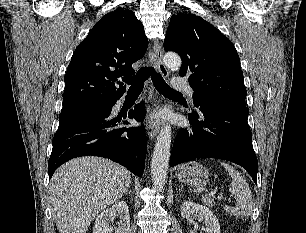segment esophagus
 Wrapping results in <instances>:
<instances>
[{
    "label": "esophagus",
    "mask_w": 306,
    "mask_h": 233,
    "mask_svg": "<svg viewBox=\"0 0 306 233\" xmlns=\"http://www.w3.org/2000/svg\"><path fill=\"white\" fill-rule=\"evenodd\" d=\"M154 53L156 56V67L158 71L164 76L168 77L169 72L164 65L163 62V51H162V45L159 42L158 39L154 41ZM160 124L157 122L149 121L147 125V133L150 139H154L156 135L159 133Z\"/></svg>",
    "instance_id": "obj_1"
}]
</instances>
